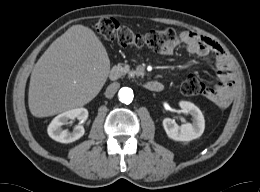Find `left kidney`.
<instances>
[{"label":"left kidney","instance_id":"obj_1","mask_svg":"<svg viewBox=\"0 0 260 192\" xmlns=\"http://www.w3.org/2000/svg\"><path fill=\"white\" fill-rule=\"evenodd\" d=\"M182 111L192 116V123L179 126L173 119L164 118L163 127L167 136L175 141H191L200 137L205 129V120L200 109L191 102L179 103Z\"/></svg>","mask_w":260,"mask_h":192}]
</instances>
